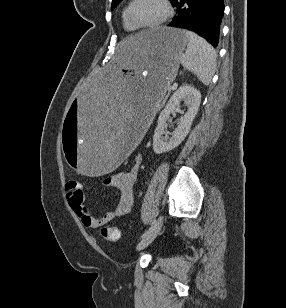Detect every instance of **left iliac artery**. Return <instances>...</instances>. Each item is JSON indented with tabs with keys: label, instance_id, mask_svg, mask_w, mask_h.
I'll use <instances>...</instances> for the list:
<instances>
[{
	"label": "left iliac artery",
	"instance_id": "1",
	"mask_svg": "<svg viewBox=\"0 0 286 308\" xmlns=\"http://www.w3.org/2000/svg\"><path fill=\"white\" fill-rule=\"evenodd\" d=\"M156 223V220H154L151 224V227H149L144 233L143 235L141 236V238H144L145 236H147L149 234V232L152 230L153 226L155 225Z\"/></svg>",
	"mask_w": 286,
	"mask_h": 308
}]
</instances>
